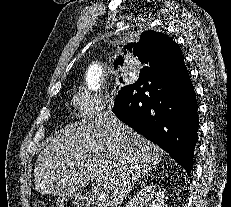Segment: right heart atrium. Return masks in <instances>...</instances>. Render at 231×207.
Segmentation results:
<instances>
[{
  "instance_id": "1",
  "label": "right heart atrium",
  "mask_w": 231,
  "mask_h": 207,
  "mask_svg": "<svg viewBox=\"0 0 231 207\" xmlns=\"http://www.w3.org/2000/svg\"><path fill=\"white\" fill-rule=\"evenodd\" d=\"M110 103L109 98L87 90L77 91L71 99L75 118L84 123H90L102 115Z\"/></svg>"
}]
</instances>
